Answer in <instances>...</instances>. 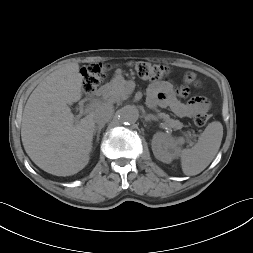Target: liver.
Returning a JSON list of instances; mask_svg holds the SVG:
<instances>
[{
  "label": "liver",
  "instance_id": "obj_1",
  "mask_svg": "<svg viewBox=\"0 0 253 253\" xmlns=\"http://www.w3.org/2000/svg\"><path fill=\"white\" fill-rule=\"evenodd\" d=\"M78 63L49 74L31 93L22 117L21 139L30 159L56 175L78 173L89 162L95 129L94 112L74 120L69 105L82 97Z\"/></svg>",
  "mask_w": 253,
  "mask_h": 253
}]
</instances>
